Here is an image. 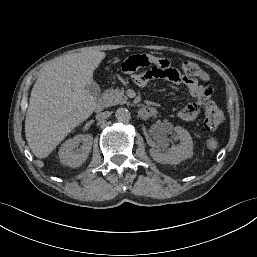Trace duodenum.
<instances>
[{"label":"duodenum","instance_id":"duodenum-1","mask_svg":"<svg viewBox=\"0 0 257 257\" xmlns=\"http://www.w3.org/2000/svg\"><path fill=\"white\" fill-rule=\"evenodd\" d=\"M104 110V100L102 98L96 99L94 103V111L101 113ZM156 115V110L152 107H144L140 110V116L144 118L153 117Z\"/></svg>","mask_w":257,"mask_h":257}]
</instances>
